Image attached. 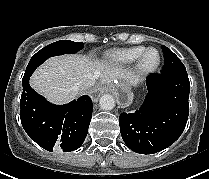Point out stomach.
<instances>
[{
	"label": "stomach",
	"mask_w": 209,
	"mask_h": 179,
	"mask_svg": "<svg viewBox=\"0 0 209 179\" xmlns=\"http://www.w3.org/2000/svg\"><path fill=\"white\" fill-rule=\"evenodd\" d=\"M118 86H119L124 92L129 93V87H128L127 85L120 83Z\"/></svg>",
	"instance_id": "0dacf381"
}]
</instances>
